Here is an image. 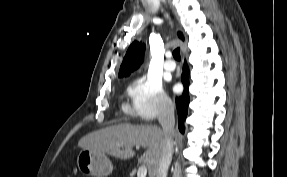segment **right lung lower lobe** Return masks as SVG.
Segmentation results:
<instances>
[{
    "mask_svg": "<svg viewBox=\"0 0 287 177\" xmlns=\"http://www.w3.org/2000/svg\"><path fill=\"white\" fill-rule=\"evenodd\" d=\"M181 80L184 85V91L182 96L176 98V107L178 112V126L179 130L184 132V121L187 117L188 113V105H189V69L186 63H184L183 73L181 75Z\"/></svg>",
    "mask_w": 287,
    "mask_h": 177,
    "instance_id": "obj_1",
    "label": "right lung lower lobe"
}]
</instances>
